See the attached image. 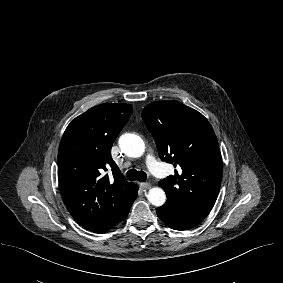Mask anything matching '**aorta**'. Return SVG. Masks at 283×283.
<instances>
[{
	"mask_svg": "<svg viewBox=\"0 0 283 283\" xmlns=\"http://www.w3.org/2000/svg\"><path fill=\"white\" fill-rule=\"evenodd\" d=\"M119 146L125 155L137 158L143 155L145 144L143 139L132 133H125L119 138ZM148 201L156 206H162L166 201V194L160 187H153L147 195Z\"/></svg>",
	"mask_w": 283,
	"mask_h": 283,
	"instance_id": "762f6f07",
	"label": "aorta"
}]
</instances>
